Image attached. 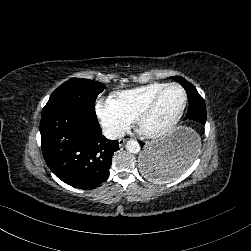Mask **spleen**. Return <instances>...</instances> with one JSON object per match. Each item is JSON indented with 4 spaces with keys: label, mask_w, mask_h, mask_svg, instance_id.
<instances>
[{
    "label": "spleen",
    "mask_w": 251,
    "mask_h": 251,
    "mask_svg": "<svg viewBox=\"0 0 251 251\" xmlns=\"http://www.w3.org/2000/svg\"><path fill=\"white\" fill-rule=\"evenodd\" d=\"M200 145H201L200 138H198L195 141V146H194V149L192 150V152L187 153L186 155L181 157L182 167L179 168L178 170L174 169V168L173 169H166V170H155V171H150L148 173V175L156 178V181H159V182H165L167 180H170L172 178H176V177L180 176L186 170V168L192 163L193 155L199 151Z\"/></svg>",
    "instance_id": "spleen-1"
}]
</instances>
